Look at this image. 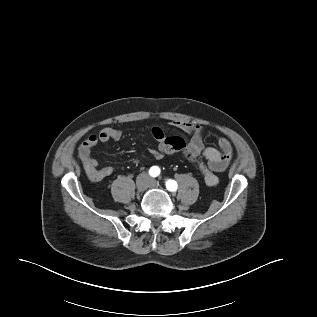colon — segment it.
<instances>
[{
	"label": "colon",
	"instance_id": "colon-1",
	"mask_svg": "<svg viewBox=\"0 0 317 317\" xmlns=\"http://www.w3.org/2000/svg\"><path fill=\"white\" fill-rule=\"evenodd\" d=\"M163 147L166 151L174 150L175 152L180 151L181 141L175 137L169 136L165 138Z\"/></svg>",
	"mask_w": 317,
	"mask_h": 317
}]
</instances>
